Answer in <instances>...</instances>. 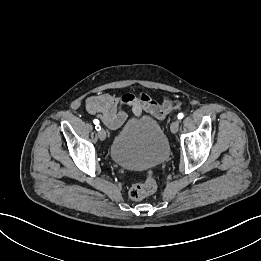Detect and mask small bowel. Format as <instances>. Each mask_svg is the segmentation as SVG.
<instances>
[{
  "label": "small bowel",
  "mask_w": 261,
  "mask_h": 261,
  "mask_svg": "<svg viewBox=\"0 0 261 261\" xmlns=\"http://www.w3.org/2000/svg\"><path fill=\"white\" fill-rule=\"evenodd\" d=\"M179 102L164 97L161 103L151 99L145 93H123L120 95L103 93L90 96L86 100V111L96 115L111 130L121 127L127 120L125 107H130L134 116L139 118L143 111L162 120L167 113L178 107Z\"/></svg>",
  "instance_id": "obj_1"
}]
</instances>
